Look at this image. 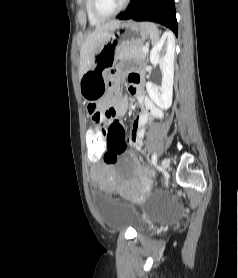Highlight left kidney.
<instances>
[{"instance_id": "1", "label": "left kidney", "mask_w": 238, "mask_h": 278, "mask_svg": "<svg viewBox=\"0 0 238 278\" xmlns=\"http://www.w3.org/2000/svg\"><path fill=\"white\" fill-rule=\"evenodd\" d=\"M175 39L170 32H165L150 52V62L160 66L162 84L157 87L147 82L146 89L152 101L161 109L167 110L172 104L174 79Z\"/></svg>"}]
</instances>
